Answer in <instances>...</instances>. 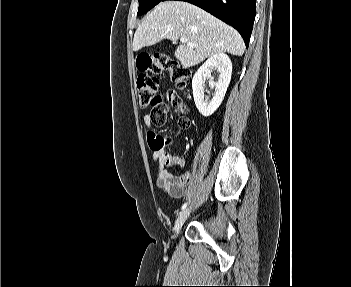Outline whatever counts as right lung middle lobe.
Returning a JSON list of instances; mask_svg holds the SVG:
<instances>
[{
  "instance_id": "obj_1",
  "label": "right lung middle lobe",
  "mask_w": 351,
  "mask_h": 287,
  "mask_svg": "<svg viewBox=\"0 0 351 287\" xmlns=\"http://www.w3.org/2000/svg\"><path fill=\"white\" fill-rule=\"evenodd\" d=\"M164 0H139L138 15H142L151 10L154 6Z\"/></svg>"
}]
</instances>
